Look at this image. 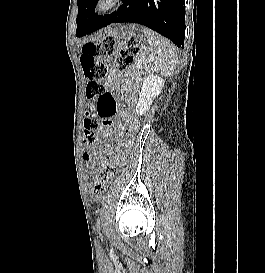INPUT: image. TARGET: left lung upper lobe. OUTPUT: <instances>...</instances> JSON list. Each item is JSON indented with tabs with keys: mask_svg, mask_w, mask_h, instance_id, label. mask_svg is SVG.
<instances>
[{
	"mask_svg": "<svg viewBox=\"0 0 265 273\" xmlns=\"http://www.w3.org/2000/svg\"><path fill=\"white\" fill-rule=\"evenodd\" d=\"M98 0H78V16L76 19L77 23V32L80 29V26L83 23V19L91 12L95 11V6ZM76 32V33H77Z\"/></svg>",
	"mask_w": 265,
	"mask_h": 273,
	"instance_id": "left-lung-upper-lobe-1",
	"label": "left lung upper lobe"
}]
</instances>
